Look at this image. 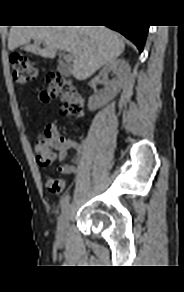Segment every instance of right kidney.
Instances as JSON below:
<instances>
[{
    "mask_svg": "<svg viewBox=\"0 0 184 292\" xmlns=\"http://www.w3.org/2000/svg\"><path fill=\"white\" fill-rule=\"evenodd\" d=\"M112 72L114 78L109 80L108 74ZM130 74V66L124 59H114L105 64L99 75L104 81V92L100 97L91 96L88 101L90 111L106 105L122 89L125 80Z\"/></svg>",
    "mask_w": 184,
    "mask_h": 292,
    "instance_id": "right-kidney-1",
    "label": "right kidney"
}]
</instances>
